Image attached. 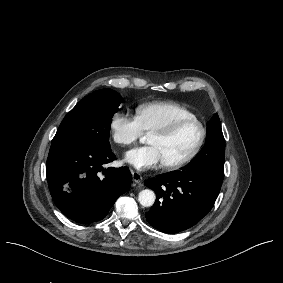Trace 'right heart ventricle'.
<instances>
[{
    "label": "right heart ventricle",
    "instance_id": "right-heart-ventricle-1",
    "mask_svg": "<svg viewBox=\"0 0 283 283\" xmlns=\"http://www.w3.org/2000/svg\"><path fill=\"white\" fill-rule=\"evenodd\" d=\"M135 112L143 131L148 133L163 130L180 117L194 116L186 108L168 101L142 103L135 108Z\"/></svg>",
    "mask_w": 283,
    "mask_h": 283
}]
</instances>
